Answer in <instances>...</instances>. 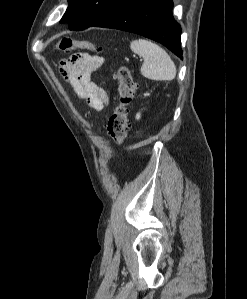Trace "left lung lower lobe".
Wrapping results in <instances>:
<instances>
[{"mask_svg": "<svg viewBox=\"0 0 247 299\" xmlns=\"http://www.w3.org/2000/svg\"><path fill=\"white\" fill-rule=\"evenodd\" d=\"M172 8V0H123L92 26L145 36L163 44L182 59L181 27L174 20Z\"/></svg>", "mask_w": 247, "mask_h": 299, "instance_id": "1", "label": "left lung lower lobe"}]
</instances>
